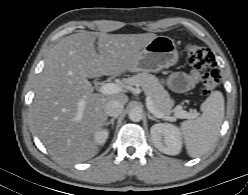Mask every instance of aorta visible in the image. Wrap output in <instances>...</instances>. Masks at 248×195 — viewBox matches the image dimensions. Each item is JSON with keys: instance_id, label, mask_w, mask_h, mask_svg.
Listing matches in <instances>:
<instances>
[{"instance_id": "762f6f07", "label": "aorta", "mask_w": 248, "mask_h": 195, "mask_svg": "<svg viewBox=\"0 0 248 195\" xmlns=\"http://www.w3.org/2000/svg\"><path fill=\"white\" fill-rule=\"evenodd\" d=\"M142 116L143 112L138 107L132 108L128 113L129 119L133 122H139L142 119Z\"/></svg>"}]
</instances>
